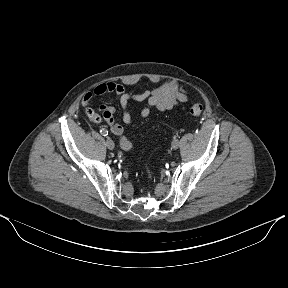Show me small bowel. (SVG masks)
<instances>
[{
    "mask_svg": "<svg viewBox=\"0 0 288 288\" xmlns=\"http://www.w3.org/2000/svg\"><path fill=\"white\" fill-rule=\"evenodd\" d=\"M106 93H112L118 97L122 110V120L128 125L135 122V118L128 110L131 101L146 102L138 117L139 120H145L149 117L153 108L161 112H166L188 100V92L185 87L174 80L166 81L157 88L145 90L140 93L129 92L123 84L109 81L101 83L97 85L93 91L87 92L82 99L83 106H88L93 96H101ZM99 110L102 113L104 120L110 126L112 133L121 139L125 138L124 128L114 117L117 112L116 108L102 105L99 107Z\"/></svg>",
    "mask_w": 288,
    "mask_h": 288,
    "instance_id": "obj_1",
    "label": "small bowel"
}]
</instances>
